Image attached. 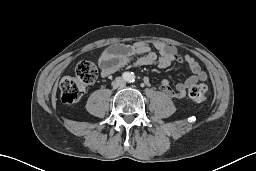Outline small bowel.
<instances>
[{
  "mask_svg": "<svg viewBox=\"0 0 256 171\" xmlns=\"http://www.w3.org/2000/svg\"><path fill=\"white\" fill-rule=\"evenodd\" d=\"M173 62L187 65L192 74L184 82L177 83L174 87L170 80H163L160 88L168 97L183 98L192 86L207 79L206 72L193 57L190 55L179 56L175 46L162 41L111 45L102 52L98 60L100 74L103 78L125 67L155 64L159 68L165 69ZM146 82L148 83V80Z\"/></svg>",
  "mask_w": 256,
  "mask_h": 171,
  "instance_id": "1",
  "label": "small bowel"
}]
</instances>
